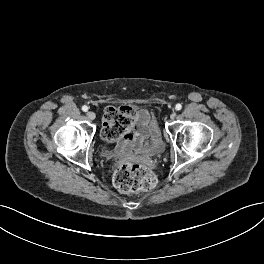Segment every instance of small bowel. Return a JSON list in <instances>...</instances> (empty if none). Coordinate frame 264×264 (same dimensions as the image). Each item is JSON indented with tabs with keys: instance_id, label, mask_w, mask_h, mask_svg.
I'll return each instance as SVG.
<instances>
[{
	"instance_id": "obj_1",
	"label": "small bowel",
	"mask_w": 264,
	"mask_h": 264,
	"mask_svg": "<svg viewBox=\"0 0 264 264\" xmlns=\"http://www.w3.org/2000/svg\"><path fill=\"white\" fill-rule=\"evenodd\" d=\"M107 121L104 118L103 127ZM156 122L147 110L139 109L134 112L131 126L121 139L117 140L116 152L129 157L131 150H140L146 139H152L156 133Z\"/></svg>"
}]
</instances>
